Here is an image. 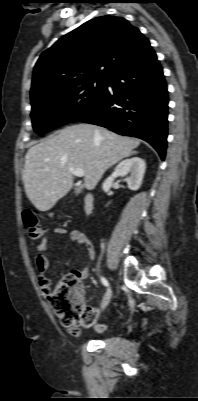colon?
<instances>
[{
    "label": "colon",
    "instance_id": "colon-1",
    "mask_svg": "<svg viewBox=\"0 0 198 401\" xmlns=\"http://www.w3.org/2000/svg\"><path fill=\"white\" fill-rule=\"evenodd\" d=\"M22 219L27 236L31 240H39L43 235V228L39 224L38 214L34 211H24ZM48 296L52 310L64 326L74 329L94 324L96 315L93 309L84 303L76 272L66 275L52 291L48 292Z\"/></svg>",
    "mask_w": 198,
    "mask_h": 401
}]
</instances>
